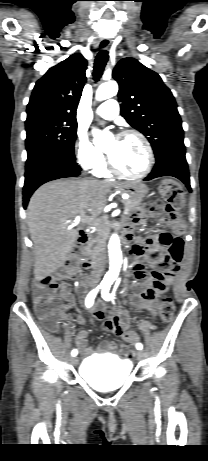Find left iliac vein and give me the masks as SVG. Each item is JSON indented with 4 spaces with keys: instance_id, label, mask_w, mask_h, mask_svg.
Instances as JSON below:
<instances>
[{
    "instance_id": "left-iliac-vein-1",
    "label": "left iliac vein",
    "mask_w": 208,
    "mask_h": 461,
    "mask_svg": "<svg viewBox=\"0 0 208 461\" xmlns=\"http://www.w3.org/2000/svg\"><path fill=\"white\" fill-rule=\"evenodd\" d=\"M136 356H137V358H138L139 360H141V359L144 358L145 354H144L143 351L140 350V351H137V352H136Z\"/></svg>"
}]
</instances>
